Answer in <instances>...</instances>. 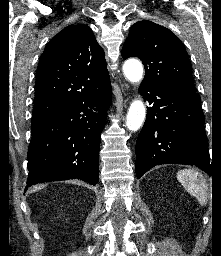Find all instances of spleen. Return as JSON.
<instances>
[{"label":"spleen","mask_w":221,"mask_h":256,"mask_svg":"<svg viewBox=\"0 0 221 256\" xmlns=\"http://www.w3.org/2000/svg\"><path fill=\"white\" fill-rule=\"evenodd\" d=\"M177 179L195 197L201 205H205L208 199V185L206 179L194 169H184L177 173Z\"/></svg>","instance_id":"1"}]
</instances>
